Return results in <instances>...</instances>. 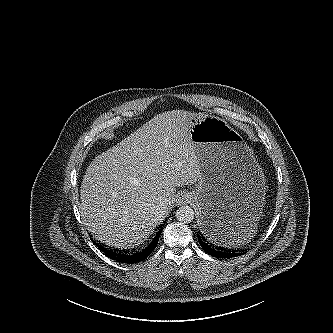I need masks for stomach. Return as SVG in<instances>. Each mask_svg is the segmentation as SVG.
Instances as JSON below:
<instances>
[{"mask_svg":"<svg viewBox=\"0 0 333 333\" xmlns=\"http://www.w3.org/2000/svg\"><path fill=\"white\" fill-rule=\"evenodd\" d=\"M192 122L189 134L199 179L191 196L201 229L217 247H244L258 232L264 173L253 150L224 119L205 116Z\"/></svg>","mask_w":333,"mask_h":333,"instance_id":"stomach-1","label":"stomach"}]
</instances>
